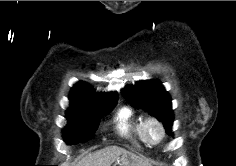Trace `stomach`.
<instances>
[{
	"label": "stomach",
	"mask_w": 236,
	"mask_h": 166,
	"mask_svg": "<svg viewBox=\"0 0 236 166\" xmlns=\"http://www.w3.org/2000/svg\"><path fill=\"white\" fill-rule=\"evenodd\" d=\"M120 166H132L133 155H125L120 158Z\"/></svg>",
	"instance_id": "obj_1"
}]
</instances>
